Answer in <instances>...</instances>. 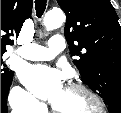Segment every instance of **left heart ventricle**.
I'll return each mask as SVG.
<instances>
[{"label": "left heart ventricle", "mask_w": 121, "mask_h": 113, "mask_svg": "<svg viewBox=\"0 0 121 113\" xmlns=\"http://www.w3.org/2000/svg\"><path fill=\"white\" fill-rule=\"evenodd\" d=\"M61 112H81L96 110V105L82 93L63 88L59 98L53 103Z\"/></svg>", "instance_id": "left-heart-ventricle-1"}]
</instances>
